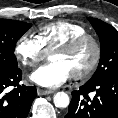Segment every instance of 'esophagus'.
Returning a JSON list of instances; mask_svg holds the SVG:
<instances>
[{
    "instance_id": "esophagus-1",
    "label": "esophagus",
    "mask_w": 118,
    "mask_h": 118,
    "mask_svg": "<svg viewBox=\"0 0 118 118\" xmlns=\"http://www.w3.org/2000/svg\"><path fill=\"white\" fill-rule=\"evenodd\" d=\"M37 93H38V95H49V94H52L53 91L38 88Z\"/></svg>"
}]
</instances>
